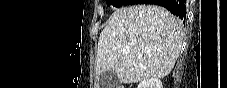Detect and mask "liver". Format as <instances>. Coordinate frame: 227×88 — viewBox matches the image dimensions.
<instances>
[{
    "label": "liver",
    "instance_id": "obj_1",
    "mask_svg": "<svg viewBox=\"0 0 227 88\" xmlns=\"http://www.w3.org/2000/svg\"><path fill=\"white\" fill-rule=\"evenodd\" d=\"M182 42L181 23L167 9L140 4L122 7L100 33L96 73L114 71L127 84L163 78L172 71Z\"/></svg>",
    "mask_w": 227,
    "mask_h": 88
}]
</instances>
